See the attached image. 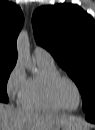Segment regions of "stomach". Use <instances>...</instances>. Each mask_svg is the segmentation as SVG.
<instances>
[{
	"instance_id": "stomach-1",
	"label": "stomach",
	"mask_w": 95,
	"mask_h": 130,
	"mask_svg": "<svg viewBox=\"0 0 95 130\" xmlns=\"http://www.w3.org/2000/svg\"><path fill=\"white\" fill-rule=\"evenodd\" d=\"M84 124L80 123L79 121L71 122L68 124L63 125L60 130H86L83 128Z\"/></svg>"
}]
</instances>
